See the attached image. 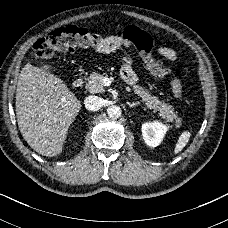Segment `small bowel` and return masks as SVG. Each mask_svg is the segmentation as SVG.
Listing matches in <instances>:
<instances>
[{"label": "small bowel", "instance_id": "obj_1", "mask_svg": "<svg viewBox=\"0 0 228 228\" xmlns=\"http://www.w3.org/2000/svg\"><path fill=\"white\" fill-rule=\"evenodd\" d=\"M142 53H140L141 59L145 65V68L156 78H164L171 73V70L163 67L149 52L153 47L151 38L141 29L133 26H129L125 29L122 36H108L101 44L96 48L98 53H111L120 48H127L135 52V47ZM155 51L158 55L170 61L178 60V53L171 47L157 46ZM148 52V53H147ZM134 58L128 56L125 58L121 74L125 81L128 83H134L137 80V76L133 71Z\"/></svg>", "mask_w": 228, "mask_h": 228}]
</instances>
